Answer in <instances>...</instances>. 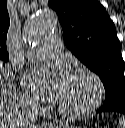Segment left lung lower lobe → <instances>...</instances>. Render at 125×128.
Wrapping results in <instances>:
<instances>
[{"mask_svg": "<svg viewBox=\"0 0 125 128\" xmlns=\"http://www.w3.org/2000/svg\"><path fill=\"white\" fill-rule=\"evenodd\" d=\"M97 112H119L125 114V101L115 105L102 106Z\"/></svg>", "mask_w": 125, "mask_h": 128, "instance_id": "1", "label": "left lung lower lobe"}]
</instances>
